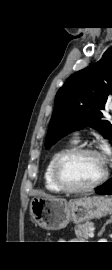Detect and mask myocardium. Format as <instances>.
<instances>
[{"label": "myocardium", "instance_id": "1", "mask_svg": "<svg viewBox=\"0 0 112 270\" xmlns=\"http://www.w3.org/2000/svg\"><path fill=\"white\" fill-rule=\"evenodd\" d=\"M82 154H96V155L100 156L99 152L97 150H95L94 148L73 147V148H69V149L63 151L62 153H60L54 161L53 179H54L56 185L60 189H62L64 192L84 193V192L92 191V190L96 189L97 187H99L100 185H102L108 177V169H107V167H104L102 175L95 182H93L89 185H86V186H74V185L70 184L64 176L63 166L68 159H70L74 156L82 155Z\"/></svg>", "mask_w": 112, "mask_h": 270}]
</instances>
